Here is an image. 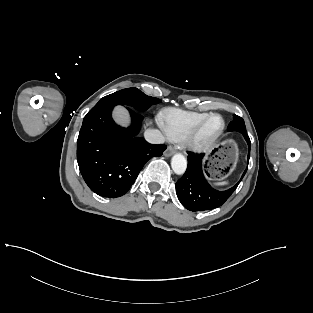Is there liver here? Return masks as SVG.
Masks as SVG:
<instances>
[{"label": "liver", "instance_id": "obj_1", "mask_svg": "<svg viewBox=\"0 0 313 313\" xmlns=\"http://www.w3.org/2000/svg\"><path fill=\"white\" fill-rule=\"evenodd\" d=\"M113 116L115 121L122 126H126L129 122V114L128 111L121 106L115 108L113 112Z\"/></svg>", "mask_w": 313, "mask_h": 313}]
</instances>
